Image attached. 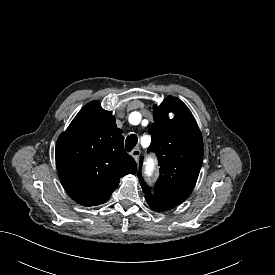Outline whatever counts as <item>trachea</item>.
<instances>
[{"instance_id": "obj_1", "label": "trachea", "mask_w": 275, "mask_h": 275, "mask_svg": "<svg viewBox=\"0 0 275 275\" xmlns=\"http://www.w3.org/2000/svg\"><path fill=\"white\" fill-rule=\"evenodd\" d=\"M138 138L135 134H130L127 136L125 141V149L130 152L137 144Z\"/></svg>"}]
</instances>
